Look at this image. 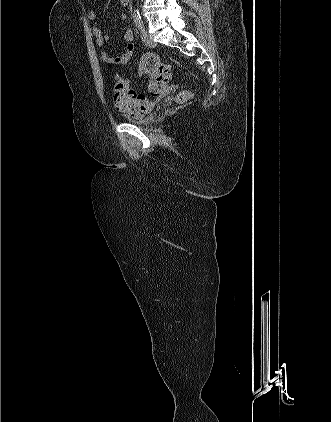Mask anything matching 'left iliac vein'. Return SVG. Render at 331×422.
<instances>
[{"label": "left iliac vein", "mask_w": 331, "mask_h": 422, "mask_svg": "<svg viewBox=\"0 0 331 422\" xmlns=\"http://www.w3.org/2000/svg\"><path fill=\"white\" fill-rule=\"evenodd\" d=\"M142 40L145 43V45L148 47L153 48L156 46V43L154 42V40L152 39L148 31L145 29L142 31Z\"/></svg>", "instance_id": "obj_1"}]
</instances>
